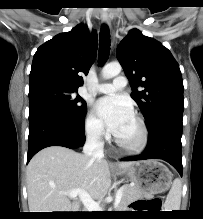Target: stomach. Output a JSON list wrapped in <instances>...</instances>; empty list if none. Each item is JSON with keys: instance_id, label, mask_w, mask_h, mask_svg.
Returning a JSON list of instances; mask_svg holds the SVG:
<instances>
[{"instance_id": "1", "label": "stomach", "mask_w": 203, "mask_h": 219, "mask_svg": "<svg viewBox=\"0 0 203 219\" xmlns=\"http://www.w3.org/2000/svg\"><path fill=\"white\" fill-rule=\"evenodd\" d=\"M118 174L129 177L146 197H153L165 192L172 184L171 172L157 160L134 162L129 168L119 171Z\"/></svg>"}]
</instances>
